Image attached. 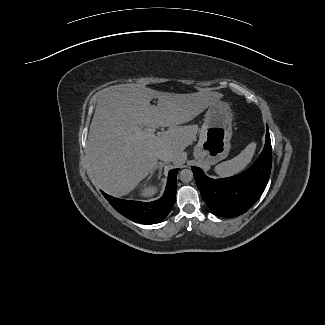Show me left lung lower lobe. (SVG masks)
Returning a JSON list of instances; mask_svg holds the SVG:
<instances>
[{"instance_id":"left-lung-lower-lobe-1","label":"left lung lower lobe","mask_w":325,"mask_h":325,"mask_svg":"<svg viewBox=\"0 0 325 325\" xmlns=\"http://www.w3.org/2000/svg\"><path fill=\"white\" fill-rule=\"evenodd\" d=\"M272 148L268 126L263 151L243 173L224 179H211L198 167H192L197 187L211 212L225 218L246 212L262 195L269 180Z\"/></svg>"}]
</instances>
